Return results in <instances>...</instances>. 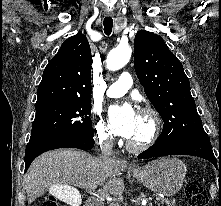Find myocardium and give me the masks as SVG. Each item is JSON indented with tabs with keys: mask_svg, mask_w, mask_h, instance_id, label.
I'll return each mask as SVG.
<instances>
[{
	"mask_svg": "<svg viewBox=\"0 0 221 206\" xmlns=\"http://www.w3.org/2000/svg\"><path fill=\"white\" fill-rule=\"evenodd\" d=\"M139 114L149 121L150 130L147 137L140 142L127 141L126 146L132 152H142L148 149L155 143L161 131V119L153 107L145 105L140 109Z\"/></svg>",
	"mask_w": 221,
	"mask_h": 206,
	"instance_id": "1",
	"label": "myocardium"
}]
</instances>
